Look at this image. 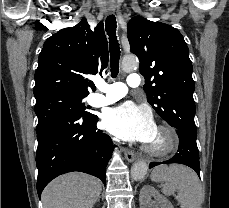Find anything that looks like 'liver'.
Here are the masks:
<instances>
[{
    "label": "liver",
    "instance_id": "1",
    "mask_svg": "<svg viewBox=\"0 0 229 208\" xmlns=\"http://www.w3.org/2000/svg\"><path fill=\"white\" fill-rule=\"evenodd\" d=\"M100 180L87 174H64L42 192L43 208H93L101 194Z\"/></svg>",
    "mask_w": 229,
    "mask_h": 208
}]
</instances>
